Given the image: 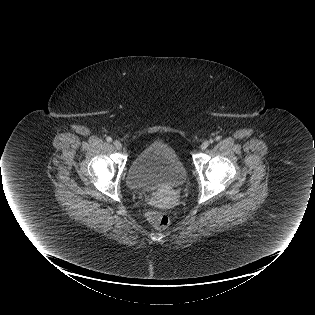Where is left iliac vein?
Wrapping results in <instances>:
<instances>
[{
  "label": "left iliac vein",
  "mask_w": 315,
  "mask_h": 315,
  "mask_svg": "<svg viewBox=\"0 0 315 315\" xmlns=\"http://www.w3.org/2000/svg\"><path fill=\"white\" fill-rule=\"evenodd\" d=\"M209 144H210V142L209 141H204V142H202V144H201V149L202 150H205L208 146H209Z\"/></svg>",
  "instance_id": "obj_1"
}]
</instances>
